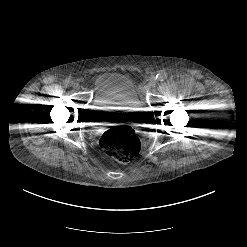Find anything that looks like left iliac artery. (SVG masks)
Returning a JSON list of instances; mask_svg holds the SVG:
<instances>
[{"label":"left iliac artery","mask_w":247,"mask_h":247,"mask_svg":"<svg viewBox=\"0 0 247 247\" xmlns=\"http://www.w3.org/2000/svg\"><path fill=\"white\" fill-rule=\"evenodd\" d=\"M167 78V74L165 72H159L157 75H156V79L158 81H164L165 79Z\"/></svg>","instance_id":"1"}]
</instances>
